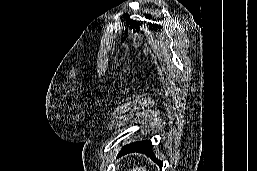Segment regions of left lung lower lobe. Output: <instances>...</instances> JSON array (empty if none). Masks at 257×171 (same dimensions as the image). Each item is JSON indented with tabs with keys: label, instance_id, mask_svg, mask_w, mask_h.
I'll return each mask as SVG.
<instances>
[{
	"label": "left lung lower lobe",
	"instance_id": "0a47b994",
	"mask_svg": "<svg viewBox=\"0 0 257 171\" xmlns=\"http://www.w3.org/2000/svg\"><path fill=\"white\" fill-rule=\"evenodd\" d=\"M132 152H139V153H143L146 154L148 156H150L152 159L155 160V162H157L160 166V168L162 167L163 162L159 161L153 154L152 151V144L150 140H145V141H137L134 143H130L129 145H126L122 148V150L120 151V153L118 154V157L128 154V153H132Z\"/></svg>",
	"mask_w": 257,
	"mask_h": 171
}]
</instances>
